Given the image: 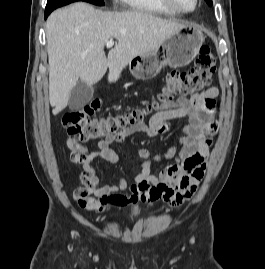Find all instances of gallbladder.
I'll return each instance as SVG.
<instances>
[{
    "mask_svg": "<svg viewBox=\"0 0 265 269\" xmlns=\"http://www.w3.org/2000/svg\"><path fill=\"white\" fill-rule=\"evenodd\" d=\"M94 88L82 81H78L73 87L68 106L71 110H79L83 108L93 97Z\"/></svg>",
    "mask_w": 265,
    "mask_h": 269,
    "instance_id": "gallbladder-1",
    "label": "gallbladder"
}]
</instances>
